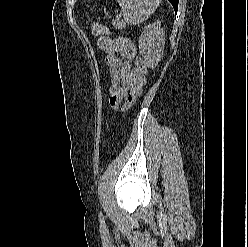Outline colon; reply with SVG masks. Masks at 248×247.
Wrapping results in <instances>:
<instances>
[{"label": "colon", "instance_id": "colon-1", "mask_svg": "<svg viewBox=\"0 0 248 247\" xmlns=\"http://www.w3.org/2000/svg\"><path fill=\"white\" fill-rule=\"evenodd\" d=\"M92 33L94 35H108L110 34V30L100 23H93ZM135 67L137 71L139 72V74L141 76H144V74L146 73L147 67H146L145 61L142 58L138 57L136 59Z\"/></svg>", "mask_w": 248, "mask_h": 247}]
</instances>
